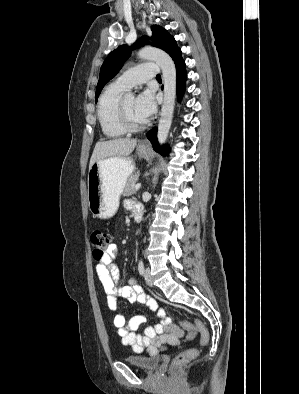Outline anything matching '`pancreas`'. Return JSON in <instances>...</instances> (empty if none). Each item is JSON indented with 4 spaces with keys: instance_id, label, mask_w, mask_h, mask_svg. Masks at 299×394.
I'll list each match as a JSON object with an SVG mask.
<instances>
[{
    "instance_id": "1",
    "label": "pancreas",
    "mask_w": 299,
    "mask_h": 394,
    "mask_svg": "<svg viewBox=\"0 0 299 394\" xmlns=\"http://www.w3.org/2000/svg\"><path fill=\"white\" fill-rule=\"evenodd\" d=\"M140 173L136 172L127 181L124 188L123 196H130L134 194L137 190L135 189L136 182L138 181Z\"/></svg>"
}]
</instances>
